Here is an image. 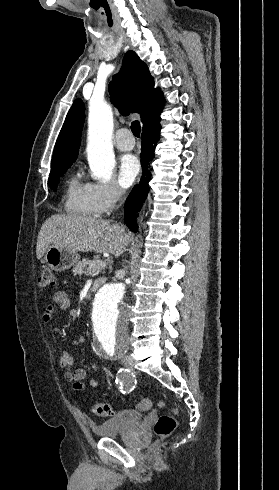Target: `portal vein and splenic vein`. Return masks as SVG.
<instances>
[{"label": "portal vein and splenic vein", "instance_id": "1", "mask_svg": "<svg viewBox=\"0 0 279 490\" xmlns=\"http://www.w3.org/2000/svg\"><path fill=\"white\" fill-rule=\"evenodd\" d=\"M96 264L99 266V264H104V262H92L91 266H96Z\"/></svg>", "mask_w": 279, "mask_h": 490}]
</instances>
